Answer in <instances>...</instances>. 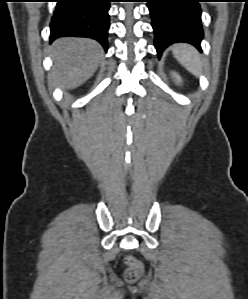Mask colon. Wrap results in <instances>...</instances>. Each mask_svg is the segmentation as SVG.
Here are the masks:
<instances>
[{"mask_svg":"<svg viewBox=\"0 0 248 299\" xmlns=\"http://www.w3.org/2000/svg\"><path fill=\"white\" fill-rule=\"evenodd\" d=\"M125 263L131 268L126 275L127 280L130 282L136 281L141 269V264L132 256H127Z\"/></svg>","mask_w":248,"mask_h":299,"instance_id":"1","label":"colon"}]
</instances>
